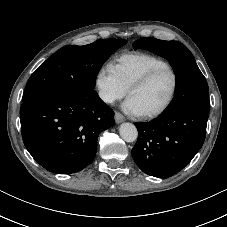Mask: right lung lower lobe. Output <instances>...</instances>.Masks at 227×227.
Segmentation results:
<instances>
[{
	"label": "right lung lower lobe",
	"mask_w": 227,
	"mask_h": 227,
	"mask_svg": "<svg viewBox=\"0 0 227 227\" xmlns=\"http://www.w3.org/2000/svg\"><path fill=\"white\" fill-rule=\"evenodd\" d=\"M25 147L46 170L75 173L97 152L99 134L114 125V112L97 95L57 92L23 101L20 109Z\"/></svg>",
	"instance_id": "98d812e1"
}]
</instances>
